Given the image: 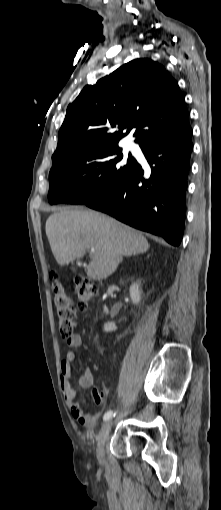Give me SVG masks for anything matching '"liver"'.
Instances as JSON below:
<instances>
[{
  "instance_id": "6515ba94",
  "label": "liver",
  "mask_w": 221,
  "mask_h": 510,
  "mask_svg": "<svg viewBox=\"0 0 221 510\" xmlns=\"http://www.w3.org/2000/svg\"><path fill=\"white\" fill-rule=\"evenodd\" d=\"M45 230L59 265H68L90 251L86 274L99 281L116 271L123 256L145 253L150 247L140 232L90 210L61 209L48 217Z\"/></svg>"
}]
</instances>
